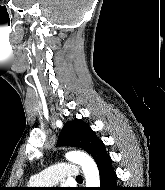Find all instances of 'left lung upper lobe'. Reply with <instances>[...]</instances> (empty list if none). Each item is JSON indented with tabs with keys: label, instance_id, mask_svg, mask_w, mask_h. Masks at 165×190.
Wrapping results in <instances>:
<instances>
[{
	"label": "left lung upper lobe",
	"instance_id": "obj_1",
	"mask_svg": "<svg viewBox=\"0 0 165 190\" xmlns=\"http://www.w3.org/2000/svg\"><path fill=\"white\" fill-rule=\"evenodd\" d=\"M57 144L58 146L70 145L80 147L91 154L96 163L108 155L104 143L81 119L68 121L64 125Z\"/></svg>",
	"mask_w": 165,
	"mask_h": 190
}]
</instances>
